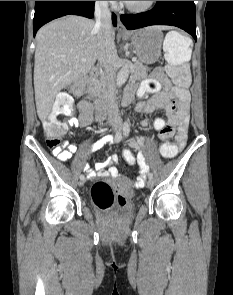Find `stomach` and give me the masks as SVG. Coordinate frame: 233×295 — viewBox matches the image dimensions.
<instances>
[{
	"mask_svg": "<svg viewBox=\"0 0 233 295\" xmlns=\"http://www.w3.org/2000/svg\"><path fill=\"white\" fill-rule=\"evenodd\" d=\"M126 36L131 40L139 60L143 63L152 64L159 59L163 33L157 26L134 30Z\"/></svg>",
	"mask_w": 233,
	"mask_h": 295,
	"instance_id": "stomach-1",
	"label": "stomach"
}]
</instances>
